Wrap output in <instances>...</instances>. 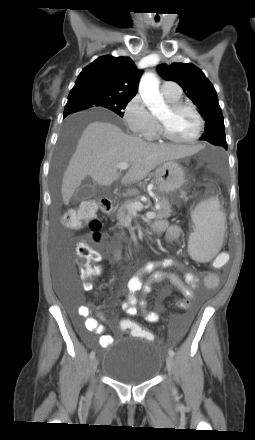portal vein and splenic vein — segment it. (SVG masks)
<instances>
[{
    "instance_id": "1",
    "label": "portal vein and splenic vein",
    "mask_w": 255,
    "mask_h": 440,
    "mask_svg": "<svg viewBox=\"0 0 255 440\" xmlns=\"http://www.w3.org/2000/svg\"><path fill=\"white\" fill-rule=\"evenodd\" d=\"M129 167H130V165L127 162H121L116 165V168L120 169V170H127ZM143 208H144V206L141 202H134L128 206V211L132 214H136L137 211H141ZM146 217L148 219H153L156 217V213L155 212H148L146 214Z\"/></svg>"
}]
</instances>
